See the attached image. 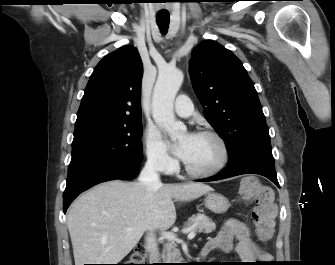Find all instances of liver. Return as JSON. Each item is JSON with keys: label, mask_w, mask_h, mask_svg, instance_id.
Wrapping results in <instances>:
<instances>
[{"label": "liver", "mask_w": 335, "mask_h": 265, "mask_svg": "<svg viewBox=\"0 0 335 265\" xmlns=\"http://www.w3.org/2000/svg\"><path fill=\"white\" fill-rule=\"evenodd\" d=\"M209 191L202 183L162 184L150 195L140 182L119 180L93 187L67 214L75 265L118 264L147 230H167L175 223L174 201H191Z\"/></svg>", "instance_id": "obj_1"}]
</instances>
